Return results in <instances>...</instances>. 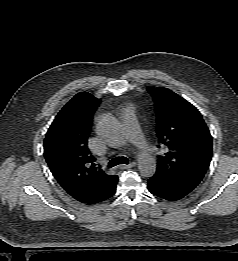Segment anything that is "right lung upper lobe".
Returning a JSON list of instances; mask_svg holds the SVG:
<instances>
[{
    "label": "right lung upper lobe",
    "mask_w": 238,
    "mask_h": 261,
    "mask_svg": "<svg viewBox=\"0 0 238 261\" xmlns=\"http://www.w3.org/2000/svg\"><path fill=\"white\" fill-rule=\"evenodd\" d=\"M99 99L75 95L58 113L44 140V156L60 186L75 200L91 204L118 179L96 166L87 143Z\"/></svg>",
    "instance_id": "obj_1"
}]
</instances>
